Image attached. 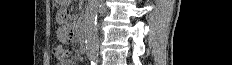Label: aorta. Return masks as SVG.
Wrapping results in <instances>:
<instances>
[{"mask_svg": "<svg viewBox=\"0 0 232 65\" xmlns=\"http://www.w3.org/2000/svg\"><path fill=\"white\" fill-rule=\"evenodd\" d=\"M102 3L103 0H88L84 15L85 48L86 54L90 58H95L97 56V17L102 7Z\"/></svg>", "mask_w": 232, "mask_h": 65, "instance_id": "aorta-1", "label": "aorta"}]
</instances>
